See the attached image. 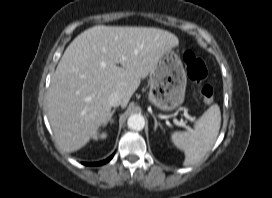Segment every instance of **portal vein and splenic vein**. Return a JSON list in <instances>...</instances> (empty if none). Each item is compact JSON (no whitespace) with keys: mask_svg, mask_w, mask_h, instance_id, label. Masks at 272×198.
Listing matches in <instances>:
<instances>
[{"mask_svg":"<svg viewBox=\"0 0 272 198\" xmlns=\"http://www.w3.org/2000/svg\"><path fill=\"white\" fill-rule=\"evenodd\" d=\"M184 116H185V118H187V119L190 120V121H195V118L192 117V116H190V115L187 113L186 110H184ZM175 123H176L177 125H180V126H183V127L186 126L185 123H184L183 121H175ZM188 129H190V128H188Z\"/></svg>","mask_w":272,"mask_h":198,"instance_id":"portal-vein-and-splenic-vein-1","label":"portal vein and splenic vein"}]
</instances>
